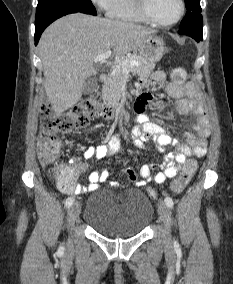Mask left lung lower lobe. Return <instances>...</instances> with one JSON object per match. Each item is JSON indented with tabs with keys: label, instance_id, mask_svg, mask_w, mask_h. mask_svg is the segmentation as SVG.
<instances>
[{
	"label": "left lung lower lobe",
	"instance_id": "1",
	"mask_svg": "<svg viewBox=\"0 0 233 284\" xmlns=\"http://www.w3.org/2000/svg\"><path fill=\"white\" fill-rule=\"evenodd\" d=\"M178 33L181 34V35L190 36L193 39H195L197 42L203 40V27H201V28H194V27L180 28Z\"/></svg>",
	"mask_w": 233,
	"mask_h": 284
}]
</instances>
